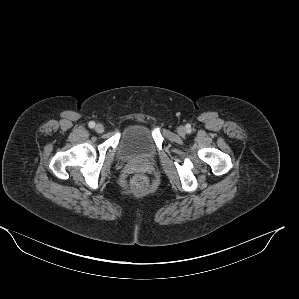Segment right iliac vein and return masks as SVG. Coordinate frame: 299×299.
Segmentation results:
<instances>
[{
  "label": "right iliac vein",
  "instance_id": "right-iliac-vein-1",
  "mask_svg": "<svg viewBox=\"0 0 299 299\" xmlns=\"http://www.w3.org/2000/svg\"><path fill=\"white\" fill-rule=\"evenodd\" d=\"M95 131H96L97 133H102V132L104 131V126H103L102 124H97V125L95 126Z\"/></svg>",
  "mask_w": 299,
  "mask_h": 299
}]
</instances>
